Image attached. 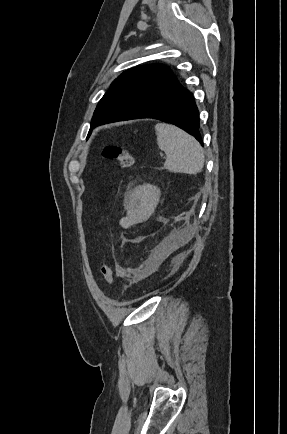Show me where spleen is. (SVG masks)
I'll return each mask as SVG.
<instances>
[{"mask_svg": "<svg viewBox=\"0 0 287 434\" xmlns=\"http://www.w3.org/2000/svg\"><path fill=\"white\" fill-rule=\"evenodd\" d=\"M158 147L165 152V169L174 173L197 174L204 165V151L199 142L176 126H155Z\"/></svg>", "mask_w": 287, "mask_h": 434, "instance_id": "1", "label": "spleen"}]
</instances>
